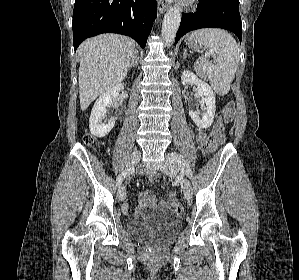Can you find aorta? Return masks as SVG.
I'll return each mask as SVG.
<instances>
[{"label": "aorta", "instance_id": "aorta-1", "mask_svg": "<svg viewBox=\"0 0 299 280\" xmlns=\"http://www.w3.org/2000/svg\"><path fill=\"white\" fill-rule=\"evenodd\" d=\"M181 22V12L180 8L177 6L170 7L164 16L162 22V38L164 39L167 46H170L176 36L179 25Z\"/></svg>", "mask_w": 299, "mask_h": 280}]
</instances>
